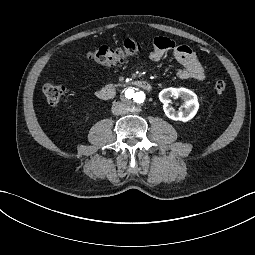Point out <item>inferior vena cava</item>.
I'll list each match as a JSON object with an SVG mask.
<instances>
[{
	"mask_svg": "<svg viewBox=\"0 0 255 255\" xmlns=\"http://www.w3.org/2000/svg\"><path fill=\"white\" fill-rule=\"evenodd\" d=\"M111 111L114 115H121L125 113V108L120 102H114Z\"/></svg>",
	"mask_w": 255,
	"mask_h": 255,
	"instance_id": "obj_1",
	"label": "inferior vena cava"
}]
</instances>
